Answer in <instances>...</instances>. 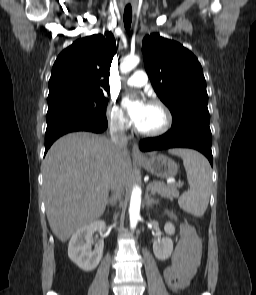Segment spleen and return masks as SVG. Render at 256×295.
<instances>
[{"label": "spleen", "mask_w": 256, "mask_h": 295, "mask_svg": "<svg viewBox=\"0 0 256 295\" xmlns=\"http://www.w3.org/2000/svg\"><path fill=\"white\" fill-rule=\"evenodd\" d=\"M180 156L187 172L189 189L179 199V206L190 214L204 215L210 197L211 167L207 159L197 151L176 149L170 151Z\"/></svg>", "instance_id": "1"}]
</instances>
